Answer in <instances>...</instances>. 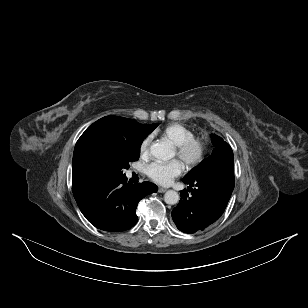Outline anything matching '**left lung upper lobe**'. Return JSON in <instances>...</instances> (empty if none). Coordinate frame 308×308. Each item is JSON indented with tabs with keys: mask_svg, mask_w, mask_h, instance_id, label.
I'll list each match as a JSON object with an SVG mask.
<instances>
[{
	"mask_svg": "<svg viewBox=\"0 0 308 308\" xmlns=\"http://www.w3.org/2000/svg\"><path fill=\"white\" fill-rule=\"evenodd\" d=\"M212 142L215 146L212 154L205 158L199 165L194 167L186 176L185 180L198 176L201 172L223 163L234 164L233 151L230 145L219 136L213 134Z\"/></svg>",
	"mask_w": 308,
	"mask_h": 308,
	"instance_id": "obj_1",
	"label": "left lung upper lobe"
}]
</instances>
